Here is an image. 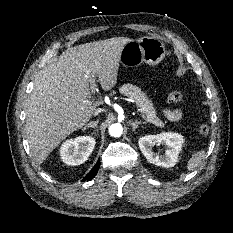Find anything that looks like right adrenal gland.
Listing matches in <instances>:
<instances>
[{"mask_svg": "<svg viewBox=\"0 0 233 233\" xmlns=\"http://www.w3.org/2000/svg\"><path fill=\"white\" fill-rule=\"evenodd\" d=\"M98 120L97 121H91L89 124H87L82 130L85 131L86 129L89 128H94L97 129V124H98Z\"/></svg>", "mask_w": 233, "mask_h": 233, "instance_id": "right-adrenal-gland-1", "label": "right adrenal gland"}]
</instances>
